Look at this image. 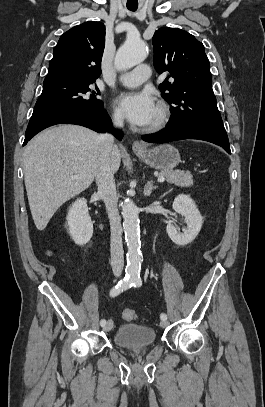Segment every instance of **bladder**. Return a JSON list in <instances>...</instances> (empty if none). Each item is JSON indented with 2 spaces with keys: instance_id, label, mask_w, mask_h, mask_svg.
<instances>
[{
  "instance_id": "31cf9c89",
  "label": "bladder",
  "mask_w": 265,
  "mask_h": 407,
  "mask_svg": "<svg viewBox=\"0 0 265 407\" xmlns=\"http://www.w3.org/2000/svg\"><path fill=\"white\" fill-rule=\"evenodd\" d=\"M113 339L120 347L139 349L152 345L156 339V332L149 326L123 324L116 330Z\"/></svg>"
}]
</instances>
